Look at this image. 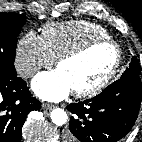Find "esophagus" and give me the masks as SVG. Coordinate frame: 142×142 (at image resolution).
<instances>
[{
	"instance_id": "34e87169",
	"label": "esophagus",
	"mask_w": 142,
	"mask_h": 142,
	"mask_svg": "<svg viewBox=\"0 0 142 142\" xmlns=\"http://www.w3.org/2000/svg\"><path fill=\"white\" fill-rule=\"evenodd\" d=\"M41 108L43 110H49L55 108V105L49 103H42Z\"/></svg>"
}]
</instances>
